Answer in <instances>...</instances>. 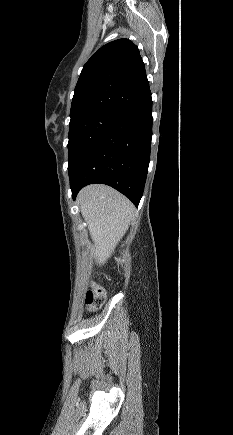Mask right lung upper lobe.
<instances>
[{"mask_svg":"<svg viewBox=\"0 0 233 435\" xmlns=\"http://www.w3.org/2000/svg\"><path fill=\"white\" fill-rule=\"evenodd\" d=\"M150 91L139 50L128 39L101 47L84 65L70 117L96 110L126 112Z\"/></svg>","mask_w":233,"mask_h":435,"instance_id":"right-lung-upper-lobe-1","label":"right lung upper lobe"}]
</instances>
